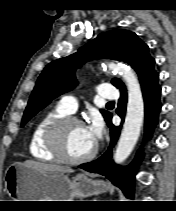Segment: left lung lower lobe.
<instances>
[{
	"instance_id": "obj_1",
	"label": "left lung lower lobe",
	"mask_w": 176,
	"mask_h": 211,
	"mask_svg": "<svg viewBox=\"0 0 176 211\" xmlns=\"http://www.w3.org/2000/svg\"><path fill=\"white\" fill-rule=\"evenodd\" d=\"M158 76L159 75H156L141 84L145 105V139H148L152 135L158 122V115L161 109V87L158 84ZM126 103L127 93L126 90H124L121 91V97L116 111L122 120L125 115ZM111 118L112 115L107 120V124L111 128V143L108 150L97 160L80 165V168L106 176L114 185L121 188L128 198H133L135 170L139 154L127 167L114 164L111 160L112 149L120 134L121 126L115 127L111 123Z\"/></svg>"
}]
</instances>
